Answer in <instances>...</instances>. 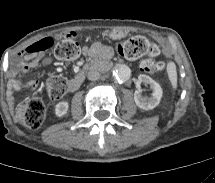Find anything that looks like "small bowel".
Masks as SVG:
<instances>
[{
  "instance_id": "small-bowel-1",
  "label": "small bowel",
  "mask_w": 215,
  "mask_h": 183,
  "mask_svg": "<svg viewBox=\"0 0 215 183\" xmlns=\"http://www.w3.org/2000/svg\"><path fill=\"white\" fill-rule=\"evenodd\" d=\"M69 36H74L73 33H70ZM42 40H50L54 43L52 37H45L31 45H29L25 51L20 54L16 64L13 67V78L8 83L7 95L10 102L14 101V92L20 91L23 89H33L37 86V81L32 80L28 82H23L21 77L26 75L32 68L37 65L49 63L52 58L45 54L46 51H34L32 50L33 46ZM84 54L88 57H95L99 53H107L108 48L100 43H95L90 46L84 47Z\"/></svg>"
}]
</instances>
